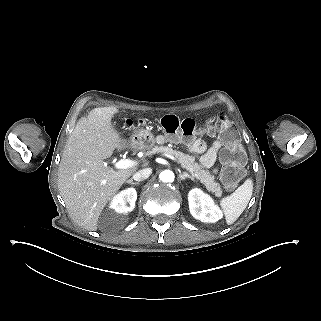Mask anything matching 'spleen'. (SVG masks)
<instances>
[{
	"label": "spleen",
	"instance_id": "obj_1",
	"mask_svg": "<svg viewBox=\"0 0 321 321\" xmlns=\"http://www.w3.org/2000/svg\"><path fill=\"white\" fill-rule=\"evenodd\" d=\"M252 191L253 182L247 179L230 196L221 199L220 206L228 225L233 224L243 213L251 199Z\"/></svg>",
	"mask_w": 321,
	"mask_h": 321
}]
</instances>
